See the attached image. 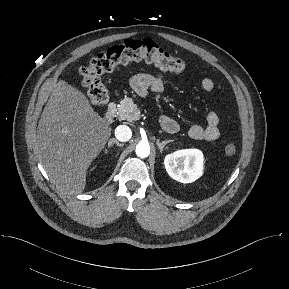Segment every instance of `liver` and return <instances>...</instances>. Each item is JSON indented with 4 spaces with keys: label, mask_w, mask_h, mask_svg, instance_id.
Instances as JSON below:
<instances>
[{
    "label": "liver",
    "mask_w": 289,
    "mask_h": 289,
    "mask_svg": "<svg viewBox=\"0 0 289 289\" xmlns=\"http://www.w3.org/2000/svg\"><path fill=\"white\" fill-rule=\"evenodd\" d=\"M111 131L80 90L64 80L54 85L38 123L36 151L61 192L74 195L84 191L87 170Z\"/></svg>",
    "instance_id": "1"
}]
</instances>
